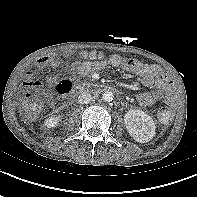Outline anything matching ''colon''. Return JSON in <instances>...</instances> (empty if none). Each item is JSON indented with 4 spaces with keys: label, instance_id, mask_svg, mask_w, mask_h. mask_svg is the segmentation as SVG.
Listing matches in <instances>:
<instances>
[{
    "label": "colon",
    "instance_id": "obj_1",
    "mask_svg": "<svg viewBox=\"0 0 197 197\" xmlns=\"http://www.w3.org/2000/svg\"><path fill=\"white\" fill-rule=\"evenodd\" d=\"M94 57L101 58L102 54L100 52H97L94 54ZM29 85L34 89L41 88V83H39V82H32ZM72 86H73V83L71 80L64 79V80L60 81V83L57 85L56 90H57L58 94L63 95V94L68 93L72 89ZM25 107H26V111L29 115H31V116L36 115L38 113L39 107H40L38 95L31 96L26 101ZM172 117H173V112L169 107L164 106L159 109L158 119L161 122L168 123L171 121Z\"/></svg>",
    "mask_w": 197,
    "mask_h": 197
}]
</instances>
